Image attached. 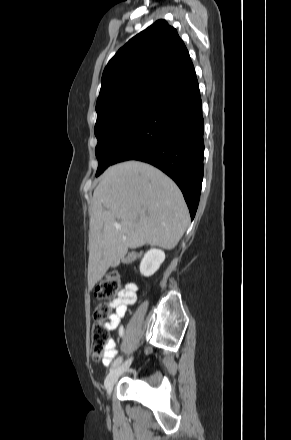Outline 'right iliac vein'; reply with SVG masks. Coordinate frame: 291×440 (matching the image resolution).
Listing matches in <instances>:
<instances>
[{"instance_id": "63e3f726", "label": "right iliac vein", "mask_w": 291, "mask_h": 440, "mask_svg": "<svg viewBox=\"0 0 291 440\" xmlns=\"http://www.w3.org/2000/svg\"><path fill=\"white\" fill-rule=\"evenodd\" d=\"M132 362V358L126 360L122 365L117 368L112 369L109 374L106 376L104 381V387L107 392V395L110 396L113 390L115 383L117 382L120 375L130 366Z\"/></svg>"}]
</instances>
